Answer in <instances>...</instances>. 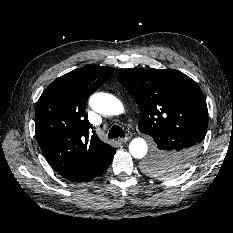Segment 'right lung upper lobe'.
<instances>
[{
    "label": "right lung upper lobe",
    "mask_w": 233,
    "mask_h": 233,
    "mask_svg": "<svg viewBox=\"0 0 233 233\" xmlns=\"http://www.w3.org/2000/svg\"><path fill=\"white\" fill-rule=\"evenodd\" d=\"M110 67L86 65L54 80L40 96L35 115L39 146L63 177L101 165L115 149L91 131L85 103L113 74Z\"/></svg>",
    "instance_id": "right-lung-upper-lobe-1"
}]
</instances>
